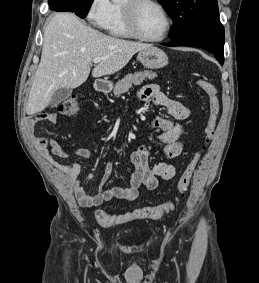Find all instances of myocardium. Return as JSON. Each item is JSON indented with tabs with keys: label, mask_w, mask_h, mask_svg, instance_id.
I'll use <instances>...</instances> for the list:
<instances>
[{
	"label": "myocardium",
	"mask_w": 259,
	"mask_h": 283,
	"mask_svg": "<svg viewBox=\"0 0 259 283\" xmlns=\"http://www.w3.org/2000/svg\"><path fill=\"white\" fill-rule=\"evenodd\" d=\"M144 4H152L156 7H158L162 13L165 16L166 19V30L164 34L157 38H151L146 35H144L138 25V11L140 7ZM122 8L124 12V17L126 21V25L130 33L137 37L138 39H141L143 41L147 42H161L165 40L172 28V18L166 9V7L158 0H124L122 3Z\"/></svg>",
	"instance_id": "myocardium-1"
}]
</instances>
